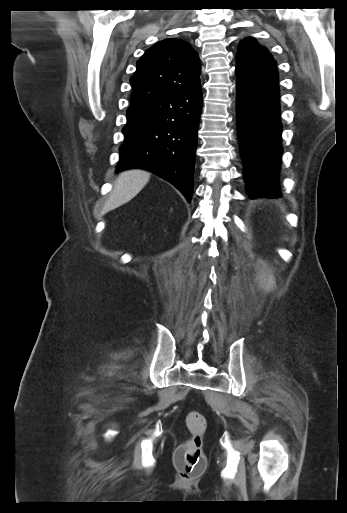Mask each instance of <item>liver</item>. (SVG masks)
<instances>
[{"instance_id":"6515ba94","label":"liver","mask_w":347,"mask_h":513,"mask_svg":"<svg viewBox=\"0 0 347 513\" xmlns=\"http://www.w3.org/2000/svg\"><path fill=\"white\" fill-rule=\"evenodd\" d=\"M150 173L132 169L121 172L114 183V189L103 207V213L114 210L132 200L148 183Z\"/></svg>"}]
</instances>
